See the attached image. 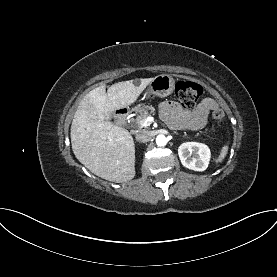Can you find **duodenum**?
Instances as JSON below:
<instances>
[{
    "label": "duodenum",
    "instance_id": "410a0bca",
    "mask_svg": "<svg viewBox=\"0 0 277 277\" xmlns=\"http://www.w3.org/2000/svg\"><path fill=\"white\" fill-rule=\"evenodd\" d=\"M128 111L125 108H120L115 111V119L119 125H123L126 122Z\"/></svg>",
    "mask_w": 277,
    "mask_h": 277
}]
</instances>
